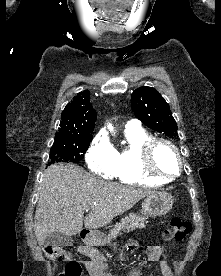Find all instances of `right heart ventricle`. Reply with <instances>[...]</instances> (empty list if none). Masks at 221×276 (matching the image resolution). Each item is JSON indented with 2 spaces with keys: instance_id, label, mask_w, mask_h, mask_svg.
Wrapping results in <instances>:
<instances>
[{
  "instance_id": "right-heart-ventricle-1",
  "label": "right heart ventricle",
  "mask_w": 221,
  "mask_h": 276,
  "mask_svg": "<svg viewBox=\"0 0 221 276\" xmlns=\"http://www.w3.org/2000/svg\"><path fill=\"white\" fill-rule=\"evenodd\" d=\"M126 144L116 151L114 177L120 182L134 185H156L165 181L149 177L142 169L141 146L152 136L142 128L125 129Z\"/></svg>"
}]
</instances>
